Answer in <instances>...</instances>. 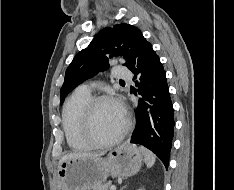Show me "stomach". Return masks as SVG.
Segmentation results:
<instances>
[{"mask_svg": "<svg viewBox=\"0 0 234 190\" xmlns=\"http://www.w3.org/2000/svg\"><path fill=\"white\" fill-rule=\"evenodd\" d=\"M143 154L139 148L124 143L111 150L106 158L69 159L58 167V190H94L109 176L128 177L141 168Z\"/></svg>", "mask_w": 234, "mask_h": 190, "instance_id": "0dacf381", "label": "stomach"}]
</instances>
